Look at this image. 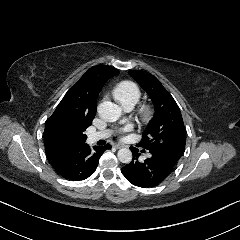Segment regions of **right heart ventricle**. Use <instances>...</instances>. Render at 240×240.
<instances>
[{
    "instance_id": "right-heart-ventricle-1",
    "label": "right heart ventricle",
    "mask_w": 240,
    "mask_h": 240,
    "mask_svg": "<svg viewBox=\"0 0 240 240\" xmlns=\"http://www.w3.org/2000/svg\"><path fill=\"white\" fill-rule=\"evenodd\" d=\"M113 96L123 108L133 107L139 102L141 91L135 83L123 82L114 88Z\"/></svg>"
}]
</instances>
